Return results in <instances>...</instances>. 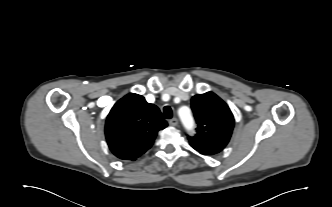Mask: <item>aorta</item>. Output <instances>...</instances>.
<instances>
[{
    "instance_id": "1",
    "label": "aorta",
    "mask_w": 332,
    "mask_h": 207,
    "mask_svg": "<svg viewBox=\"0 0 332 207\" xmlns=\"http://www.w3.org/2000/svg\"><path fill=\"white\" fill-rule=\"evenodd\" d=\"M179 116H180V119L182 120L183 124L186 127H188V128L192 127V125H193V119H192V116H191V114L189 112L183 113V110L181 109L179 111Z\"/></svg>"
}]
</instances>
